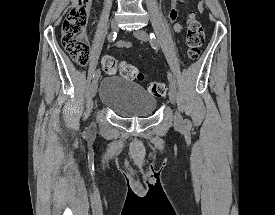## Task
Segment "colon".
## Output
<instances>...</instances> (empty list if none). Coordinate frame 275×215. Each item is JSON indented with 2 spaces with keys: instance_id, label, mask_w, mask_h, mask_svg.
<instances>
[{
  "instance_id": "5ec220e1",
  "label": "colon",
  "mask_w": 275,
  "mask_h": 215,
  "mask_svg": "<svg viewBox=\"0 0 275 215\" xmlns=\"http://www.w3.org/2000/svg\"><path fill=\"white\" fill-rule=\"evenodd\" d=\"M92 0H77L68 10L62 23V45L71 59L78 65H87L90 58V48L86 37V26L88 23L89 10ZM205 39L204 28L201 22L188 15V26L186 33L187 56L191 60H197L200 55V47ZM101 66L106 74L113 75L120 69L121 75L130 80L144 79L139 69L127 62H119L111 56H105ZM148 92L155 97H163L167 93V87L163 82L150 81L147 84Z\"/></svg>"
}]
</instances>
